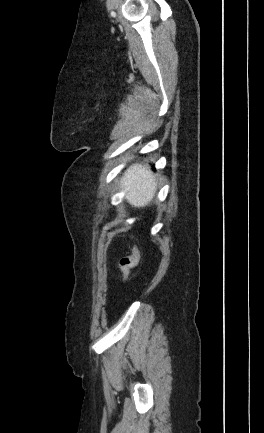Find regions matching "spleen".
Returning a JSON list of instances; mask_svg holds the SVG:
<instances>
[{
	"label": "spleen",
	"mask_w": 264,
	"mask_h": 433,
	"mask_svg": "<svg viewBox=\"0 0 264 433\" xmlns=\"http://www.w3.org/2000/svg\"><path fill=\"white\" fill-rule=\"evenodd\" d=\"M120 188L125 190V198L132 206L142 207L154 198L157 183L149 167L136 163L125 171Z\"/></svg>",
	"instance_id": "1"
}]
</instances>
